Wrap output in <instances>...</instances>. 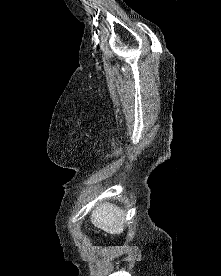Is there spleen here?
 I'll return each mask as SVG.
<instances>
[{"mask_svg": "<svg viewBox=\"0 0 221 276\" xmlns=\"http://www.w3.org/2000/svg\"><path fill=\"white\" fill-rule=\"evenodd\" d=\"M90 219L95 227L109 234H121L124 230L125 215L123 211L118 206L110 203L97 206Z\"/></svg>", "mask_w": 221, "mask_h": 276, "instance_id": "3e777b00", "label": "spleen"}]
</instances>
